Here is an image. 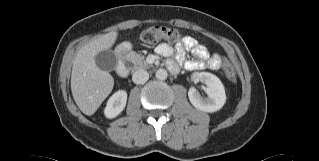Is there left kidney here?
<instances>
[{"mask_svg":"<svg viewBox=\"0 0 319 161\" xmlns=\"http://www.w3.org/2000/svg\"><path fill=\"white\" fill-rule=\"evenodd\" d=\"M193 81H200L206 85L204 88L207 97L203 98L195 88H190L188 97L191 104L198 110L204 112H216L220 110L226 102L225 89L220 79L208 72L193 73Z\"/></svg>","mask_w":319,"mask_h":161,"instance_id":"obj_1","label":"left kidney"}]
</instances>
